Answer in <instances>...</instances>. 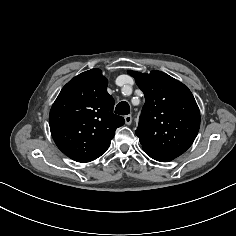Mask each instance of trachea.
Wrapping results in <instances>:
<instances>
[{"instance_id":"obj_1","label":"trachea","mask_w":236,"mask_h":236,"mask_svg":"<svg viewBox=\"0 0 236 236\" xmlns=\"http://www.w3.org/2000/svg\"><path fill=\"white\" fill-rule=\"evenodd\" d=\"M115 113L118 115H127L130 113V106L127 102L122 101L120 102L116 108H115Z\"/></svg>"}]
</instances>
